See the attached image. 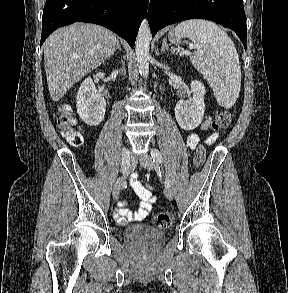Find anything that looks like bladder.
I'll use <instances>...</instances> for the list:
<instances>
[{
	"label": "bladder",
	"mask_w": 288,
	"mask_h": 293,
	"mask_svg": "<svg viewBox=\"0 0 288 293\" xmlns=\"http://www.w3.org/2000/svg\"><path fill=\"white\" fill-rule=\"evenodd\" d=\"M127 238L143 237L148 239H162L166 236L164 231L146 225H134L124 230Z\"/></svg>",
	"instance_id": "31cf9c89"
}]
</instances>
